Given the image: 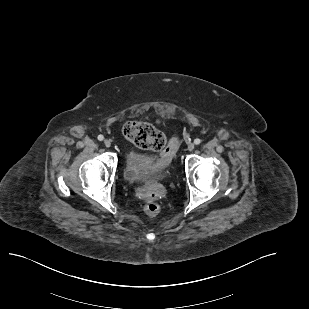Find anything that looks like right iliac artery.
<instances>
[{
  "mask_svg": "<svg viewBox=\"0 0 309 309\" xmlns=\"http://www.w3.org/2000/svg\"><path fill=\"white\" fill-rule=\"evenodd\" d=\"M97 138H98V140H99V141H103L104 136H103V135H98V137H97Z\"/></svg>",
  "mask_w": 309,
  "mask_h": 309,
  "instance_id": "obj_1",
  "label": "right iliac artery"
}]
</instances>
